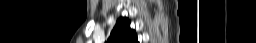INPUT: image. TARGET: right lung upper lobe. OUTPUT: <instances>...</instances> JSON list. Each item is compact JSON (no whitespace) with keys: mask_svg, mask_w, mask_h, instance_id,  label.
<instances>
[{"mask_svg":"<svg viewBox=\"0 0 256 43\" xmlns=\"http://www.w3.org/2000/svg\"><path fill=\"white\" fill-rule=\"evenodd\" d=\"M107 43H138L136 32L130 28L127 18L121 17L117 20Z\"/></svg>","mask_w":256,"mask_h":43,"instance_id":"obj_1","label":"right lung upper lobe"}]
</instances>
